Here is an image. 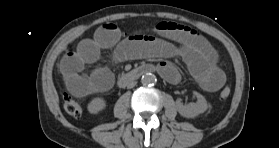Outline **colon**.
<instances>
[{
  "mask_svg": "<svg viewBox=\"0 0 279 148\" xmlns=\"http://www.w3.org/2000/svg\"><path fill=\"white\" fill-rule=\"evenodd\" d=\"M153 27L151 29H147V28H137L135 30L132 31H128L125 32L124 35L125 36H142L145 35L146 32H148V30H152ZM231 90L229 87H224L221 92H220V99L225 100L230 96ZM64 107L66 112L74 117H79L82 112H83V108H82V103L80 101L79 98L76 97H72L69 95H65L64 97Z\"/></svg>",
  "mask_w": 279,
  "mask_h": 148,
  "instance_id": "5ec220e1",
  "label": "colon"
}]
</instances>
